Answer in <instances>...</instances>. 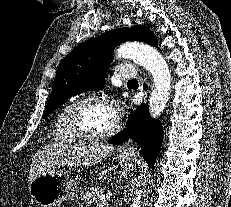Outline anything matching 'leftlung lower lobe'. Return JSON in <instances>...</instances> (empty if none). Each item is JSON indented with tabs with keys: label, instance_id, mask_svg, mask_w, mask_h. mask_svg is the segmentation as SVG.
I'll return each instance as SVG.
<instances>
[{
	"label": "left lung lower lobe",
	"instance_id": "obj_1",
	"mask_svg": "<svg viewBox=\"0 0 231 207\" xmlns=\"http://www.w3.org/2000/svg\"><path fill=\"white\" fill-rule=\"evenodd\" d=\"M135 140L141 147V155L150 167H153L163 141V128L160 122L150 117L148 106L140 105L130 114L128 127L109 139V143L118 144L128 138Z\"/></svg>",
	"mask_w": 231,
	"mask_h": 207
}]
</instances>
